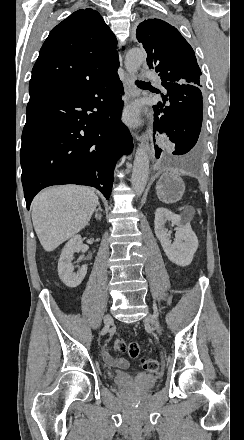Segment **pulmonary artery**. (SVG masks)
I'll return each mask as SVG.
<instances>
[{
  "mask_svg": "<svg viewBox=\"0 0 244 440\" xmlns=\"http://www.w3.org/2000/svg\"><path fill=\"white\" fill-rule=\"evenodd\" d=\"M143 74H144V76H146V77H147V76H149V74H150V73H149V71H147V70H146V71H144V73H143Z\"/></svg>",
  "mask_w": 244,
  "mask_h": 440,
  "instance_id": "e3ab8cb5",
  "label": "pulmonary artery"
}]
</instances>
